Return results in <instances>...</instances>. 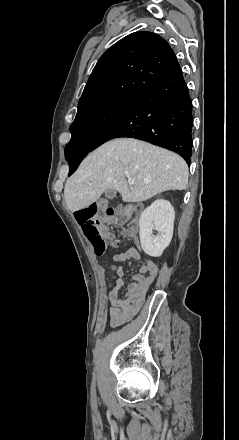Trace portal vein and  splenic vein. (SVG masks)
<instances>
[{
    "label": "portal vein and splenic vein",
    "instance_id": "18ae733b",
    "mask_svg": "<svg viewBox=\"0 0 239 440\" xmlns=\"http://www.w3.org/2000/svg\"><path fill=\"white\" fill-rule=\"evenodd\" d=\"M128 184H129V186H133L134 180H131V178H128Z\"/></svg>",
    "mask_w": 239,
    "mask_h": 440
}]
</instances>
